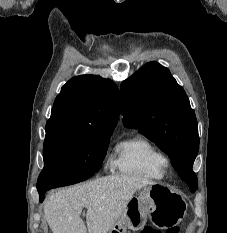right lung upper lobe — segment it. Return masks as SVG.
Masks as SVG:
<instances>
[{
  "label": "right lung upper lobe",
  "mask_w": 227,
  "mask_h": 233,
  "mask_svg": "<svg viewBox=\"0 0 227 233\" xmlns=\"http://www.w3.org/2000/svg\"><path fill=\"white\" fill-rule=\"evenodd\" d=\"M119 116L118 88L110 79L80 75L70 79L56 97L46 134L113 132Z\"/></svg>",
  "instance_id": "cb5924a9"
}]
</instances>
